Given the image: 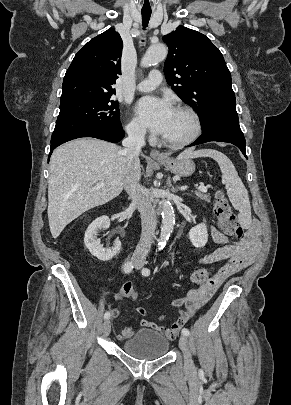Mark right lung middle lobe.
Returning <instances> with one entry per match:
<instances>
[{"mask_svg":"<svg viewBox=\"0 0 291 405\" xmlns=\"http://www.w3.org/2000/svg\"><path fill=\"white\" fill-rule=\"evenodd\" d=\"M110 98L109 95L61 101L51 143L78 132L121 129L119 103Z\"/></svg>","mask_w":291,"mask_h":405,"instance_id":"dd1d6c3e","label":"right lung middle lobe"}]
</instances>
